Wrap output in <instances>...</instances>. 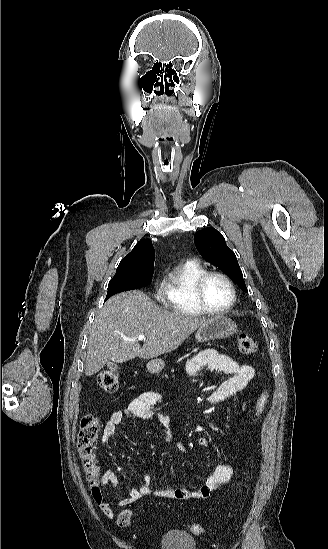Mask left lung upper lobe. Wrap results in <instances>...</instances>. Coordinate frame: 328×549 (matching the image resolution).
I'll return each mask as SVG.
<instances>
[{"label":"left lung upper lobe","instance_id":"obj_1","mask_svg":"<svg viewBox=\"0 0 328 549\" xmlns=\"http://www.w3.org/2000/svg\"><path fill=\"white\" fill-rule=\"evenodd\" d=\"M194 242L202 257L227 274L243 291H247L237 258L219 231L212 227L197 231Z\"/></svg>","mask_w":328,"mask_h":549}]
</instances>
